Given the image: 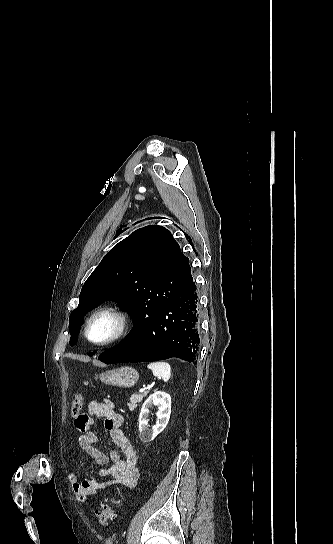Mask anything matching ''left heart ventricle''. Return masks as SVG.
<instances>
[{
    "label": "left heart ventricle",
    "instance_id": "obj_1",
    "mask_svg": "<svg viewBox=\"0 0 333 544\" xmlns=\"http://www.w3.org/2000/svg\"><path fill=\"white\" fill-rule=\"evenodd\" d=\"M115 320L109 315L97 317L90 326L89 336L92 340L102 341L110 337L115 331Z\"/></svg>",
    "mask_w": 333,
    "mask_h": 544
}]
</instances>
